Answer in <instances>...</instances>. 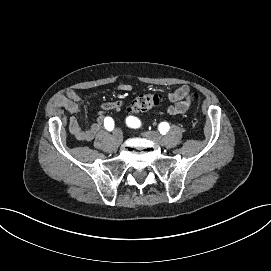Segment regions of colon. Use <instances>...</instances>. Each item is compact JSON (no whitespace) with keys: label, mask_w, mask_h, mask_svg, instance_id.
Masks as SVG:
<instances>
[{"label":"colon","mask_w":271,"mask_h":271,"mask_svg":"<svg viewBox=\"0 0 271 271\" xmlns=\"http://www.w3.org/2000/svg\"><path fill=\"white\" fill-rule=\"evenodd\" d=\"M198 98L197 94H192L190 99ZM161 101V97L156 93H146L136 97L129 105L128 111L132 114H138L156 107Z\"/></svg>","instance_id":"1"}]
</instances>
